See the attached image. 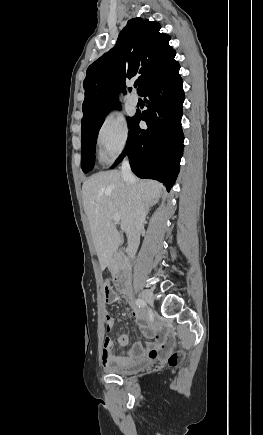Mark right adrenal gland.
Returning a JSON list of instances; mask_svg holds the SVG:
<instances>
[{
    "mask_svg": "<svg viewBox=\"0 0 263 435\" xmlns=\"http://www.w3.org/2000/svg\"><path fill=\"white\" fill-rule=\"evenodd\" d=\"M154 204H155L154 202H151L148 205H146V211H147V213L149 212L150 207H152Z\"/></svg>",
    "mask_w": 263,
    "mask_h": 435,
    "instance_id": "1",
    "label": "right adrenal gland"
}]
</instances>
